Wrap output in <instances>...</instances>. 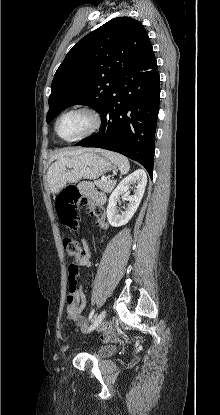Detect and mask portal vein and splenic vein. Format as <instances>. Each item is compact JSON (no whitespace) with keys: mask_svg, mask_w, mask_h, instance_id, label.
Segmentation results:
<instances>
[{"mask_svg":"<svg viewBox=\"0 0 220 415\" xmlns=\"http://www.w3.org/2000/svg\"><path fill=\"white\" fill-rule=\"evenodd\" d=\"M101 180H102V181H107V177L103 176V177L101 178Z\"/></svg>","mask_w":220,"mask_h":415,"instance_id":"obj_1","label":"portal vein and splenic vein"}]
</instances>
